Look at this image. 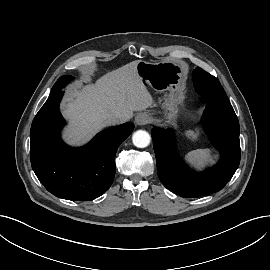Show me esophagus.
I'll list each match as a JSON object with an SVG mask.
<instances>
[{"label": "esophagus", "instance_id": "1", "mask_svg": "<svg viewBox=\"0 0 270 270\" xmlns=\"http://www.w3.org/2000/svg\"><path fill=\"white\" fill-rule=\"evenodd\" d=\"M150 121V116L147 113H140L135 117L137 125H145Z\"/></svg>", "mask_w": 270, "mask_h": 270}]
</instances>
